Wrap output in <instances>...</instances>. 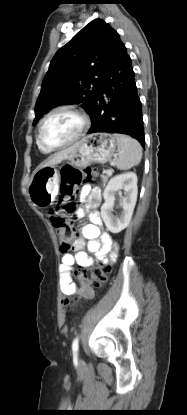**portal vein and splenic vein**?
I'll use <instances>...</instances> for the list:
<instances>
[{
    "instance_id": "portal-vein-and-splenic-vein-1",
    "label": "portal vein and splenic vein",
    "mask_w": 187,
    "mask_h": 415,
    "mask_svg": "<svg viewBox=\"0 0 187 415\" xmlns=\"http://www.w3.org/2000/svg\"><path fill=\"white\" fill-rule=\"evenodd\" d=\"M112 165H113V163H112ZM106 172H107V173H110L111 171H110V170H107Z\"/></svg>"
}]
</instances>
